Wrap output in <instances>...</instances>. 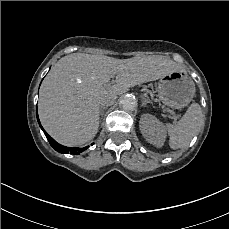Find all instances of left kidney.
<instances>
[{
	"label": "left kidney",
	"mask_w": 229,
	"mask_h": 229,
	"mask_svg": "<svg viewBox=\"0 0 229 229\" xmlns=\"http://www.w3.org/2000/svg\"><path fill=\"white\" fill-rule=\"evenodd\" d=\"M140 131L153 146H163L166 137L164 126L155 117L143 115L140 119Z\"/></svg>",
	"instance_id": "obj_1"
}]
</instances>
